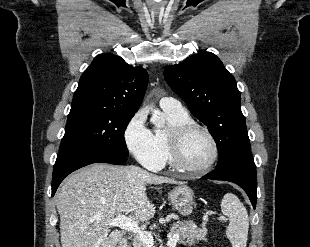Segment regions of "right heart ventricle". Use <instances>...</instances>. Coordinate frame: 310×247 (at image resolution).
<instances>
[{
    "label": "right heart ventricle",
    "instance_id": "e07e8e85",
    "mask_svg": "<svg viewBox=\"0 0 310 247\" xmlns=\"http://www.w3.org/2000/svg\"><path fill=\"white\" fill-rule=\"evenodd\" d=\"M164 112L168 120V127L165 129L156 128L153 133L154 140L157 145L159 156L161 159V167H163L165 164H172L168 141V134L170 129L175 125L193 121V119L187 112L176 113L168 110H164Z\"/></svg>",
    "mask_w": 310,
    "mask_h": 247
}]
</instances>
